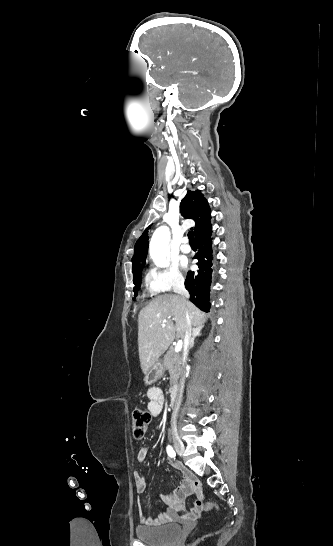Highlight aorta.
<instances>
[{
    "label": "aorta",
    "mask_w": 333,
    "mask_h": 546,
    "mask_svg": "<svg viewBox=\"0 0 333 546\" xmlns=\"http://www.w3.org/2000/svg\"><path fill=\"white\" fill-rule=\"evenodd\" d=\"M170 230L167 226H161L153 233L149 245V254L158 267H167L169 265Z\"/></svg>",
    "instance_id": "obj_1"
}]
</instances>
